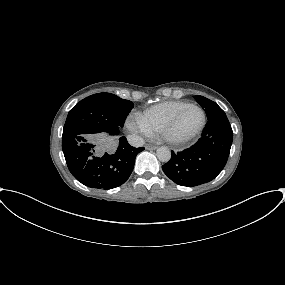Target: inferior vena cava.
Returning <instances> with one entry per match:
<instances>
[{
  "label": "inferior vena cava",
  "instance_id": "602c4592",
  "mask_svg": "<svg viewBox=\"0 0 285 285\" xmlns=\"http://www.w3.org/2000/svg\"><path fill=\"white\" fill-rule=\"evenodd\" d=\"M128 143L133 147H142L144 145V140L140 136H137L135 134H130L127 136Z\"/></svg>",
  "mask_w": 285,
  "mask_h": 285
}]
</instances>
